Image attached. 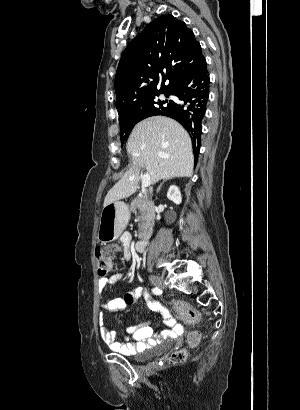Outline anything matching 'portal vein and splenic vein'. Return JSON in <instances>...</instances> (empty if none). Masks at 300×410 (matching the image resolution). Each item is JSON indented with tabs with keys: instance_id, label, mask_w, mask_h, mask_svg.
Segmentation results:
<instances>
[{
	"instance_id": "obj_1",
	"label": "portal vein and splenic vein",
	"mask_w": 300,
	"mask_h": 410,
	"mask_svg": "<svg viewBox=\"0 0 300 410\" xmlns=\"http://www.w3.org/2000/svg\"><path fill=\"white\" fill-rule=\"evenodd\" d=\"M151 185L150 176L148 174H144L142 176V187L147 188Z\"/></svg>"
}]
</instances>
